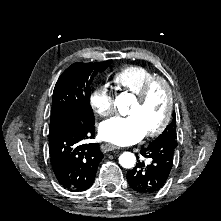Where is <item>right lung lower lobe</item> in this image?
<instances>
[{
	"instance_id": "98d812e1",
	"label": "right lung lower lobe",
	"mask_w": 221,
	"mask_h": 221,
	"mask_svg": "<svg viewBox=\"0 0 221 221\" xmlns=\"http://www.w3.org/2000/svg\"><path fill=\"white\" fill-rule=\"evenodd\" d=\"M94 121L65 118L49 127V153L58 182L72 192L87 190L103 158L98 143L85 144L94 136Z\"/></svg>"
}]
</instances>
